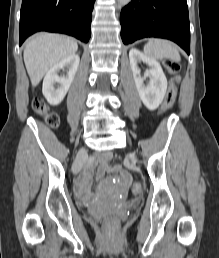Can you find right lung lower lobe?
Masks as SVG:
<instances>
[{
  "instance_id": "right-lung-lower-lobe-1",
  "label": "right lung lower lobe",
  "mask_w": 219,
  "mask_h": 258,
  "mask_svg": "<svg viewBox=\"0 0 219 258\" xmlns=\"http://www.w3.org/2000/svg\"><path fill=\"white\" fill-rule=\"evenodd\" d=\"M95 0H22L20 40L37 31L64 33L84 43L91 36Z\"/></svg>"
}]
</instances>
